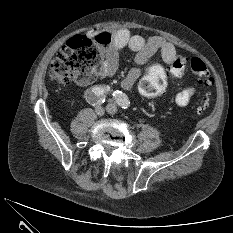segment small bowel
I'll use <instances>...</instances> for the list:
<instances>
[{"instance_id": "obj_1", "label": "small bowel", "mask_w": 233, "mask_h": 233, "mask_svg": "<svg viewBox=\"0 0 233 233\" xmlns=\"http://www.w3.org/2000/svg\"><path fill=\"white\" fill-rule=\"evenodd\" d=\"M106 32L111 36L112 41L102 66L101 78L112 76L116 72L118 54L124 48L135 52V61L140 65L148 64L155 54H160L163 62L169 66L177 56L174 45L162 37L144 38L132 34L125 28L106 30ZM140 76L139 69L130 70L121 81V87L126 90L132 88ZM195 92L196 89L192 86L180 91L175 98L176 104L180 107L188 105Z\"/></svg>"}]
</instances>
